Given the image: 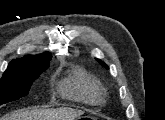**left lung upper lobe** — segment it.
Listing matches in <instances>:
<instances>
[{
  "label": "left lung upper lobe",
  "instance_id": "1",
  "mask_svg": "<svg viewBox=\"0 0 165 120\" xmlns=\"http://www.w3.org/2000/svg\"><path fill=\"white\" fill-rule=\"evenodd\" d=\"M99 63H101L104 67H106L107 69H108V67H107V65L104 63V62H102L101 60H99V59H96Z\"/></svg>",
  "mask_w": 165,
  "mask_h": 120
}]
</instances>
